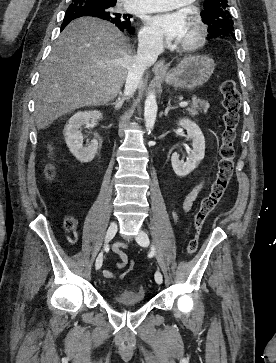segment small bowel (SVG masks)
I'll return each mask as SVG.
<instances>
[{
	"instance_id": "1",
	"label": "small bowel",
	"mask_w": 276,
	"mask_h": 363,
	"mask_svg": "<svg viewBox=\"0 0 276 363\" xmlns=\"http://www.w3.org/2000/svg\"><path fill=\"white\" fill-rule=\"evenodd\" d=\"M204 186V182H201L197 186H195L184 198L183 200V210L185 212H190L192 209V206L197 199L199 193L201 192L202 188ZM173 218L175 221H178L179 217L175 210L172 212ZM127 247V244L125 242H118L113 246L114 253L118 256L119 261L117 262V267L122 269L128 264V256L124 252V249ZM103 275L106 278H114L115 273L111 270H104Z\"/></svg>"
}]
</instances>
